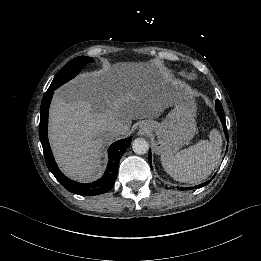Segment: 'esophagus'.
<instances>
[{
    "label": "esophagus",
    "instance_id": "esophagus-1",
    "mask_svg": "<svg viewBox=\"0 0 261 261\" xmlns=\"http://www.w3.org/2000/svg\"><path fill=\"white\" fill-rule=\"evenodd\" d=\"M150 129V124H147L146 127H144V129H140V133L141 134H146Z\"/></svg>",
    "mask_w": 261,
    "mask_h": 261
}]
</instances>
